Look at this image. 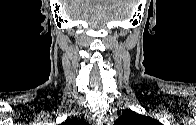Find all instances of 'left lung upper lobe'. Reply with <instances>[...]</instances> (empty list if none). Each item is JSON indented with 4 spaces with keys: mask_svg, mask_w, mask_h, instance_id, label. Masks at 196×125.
Returning a JSON list of instances; mask_svg holds the SVG:
<instances>
[{
    "mask_svg": "<svg viewBox=\"0 0 196 125\" xmlns=\"http://www.w3.org/2000/svg\"><path fill=\"white\" fill-rule=\"evenodd\" d=\"M118 125H159L160 123L151 117L143 116L135 112L122 115L118 120Z\"/></svg>",
    "mask_w": 196,
    "mask_h": 125,
    "instance_id": "obj_1",
    "label": "left lung upper lobe"
}]
</instances>
